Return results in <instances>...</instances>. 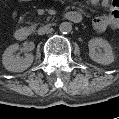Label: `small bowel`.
<instances>
[{
	"label": "small bowel",
	"instance_id": "small-bowel-1",
	"mask_svg": "<svg viewBox=\"0 0 119 119\" xmlns=\"http://www.w3.org/2000/svg\"><path fill=\"white\" fill-rule=\"evenodd\" d=\"M92 4L109 11V14L93 19L92 25L95 31L104 32L107 29H116L119 27V0L93 1Z\"/></svg>",
	"mask_w": 119,
	"mask_h": 119
}]
</instances>
